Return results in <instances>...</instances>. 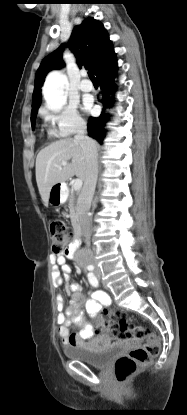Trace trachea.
Wrapping results in <instances>:
<instances>
[{
	"label": "trachea",
	"instance_id": "1",
	"mask_svg": "<svg viewBox=\"0 0 187 415\" xmlns=\"http://www.w3.org/2000/svg\"><path fill=\"white\" fill-rule=\"evenodd\" d=\"M88 76L91 79V81H96V78H95L94 74L91 71H88Z\"/></svg>",
	"mask_w": 187,
	"mask_h": 415
}]
</instances>
